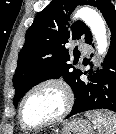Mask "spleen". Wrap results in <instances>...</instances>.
I'll use <instances>...</instances> for the list:
<instances>
[{
    "instance_id": "1",
    "label": "spleen",
    "mask_w": 116,
    "mask_h": 134,
    "mask_svg": "<svg viewBox=\"0 0 116 134\" xmlns=\"http://www.w3.org/2000/svg\"><path fill=\"white\" fill-rule=\"evenodd\" d=\"M98 134H116V115L110 111H92L86 113Z\"/></svg>"
}]
</instances>
